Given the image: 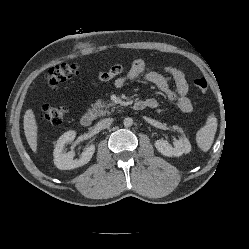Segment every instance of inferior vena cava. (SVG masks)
<instances>
[{
    "instance_id": "inferior-vena-cava-1",
    "label": "inferior vena cava",
    "mask_w": 249,
    "mask_h": 249,
    "mask_svg": "<svg viewBox=\"0 0 249 249\" xmlns=\"http://www.w3.org/2000/svg\"><path fill=\"white\" fill-rule=\"evenodd\" d=\"M112 122H113L112 118H106V119L99 121L97 123V127L99 129H105V128L109 127L112 124Z\"/></svg>"
}]
</instances>
